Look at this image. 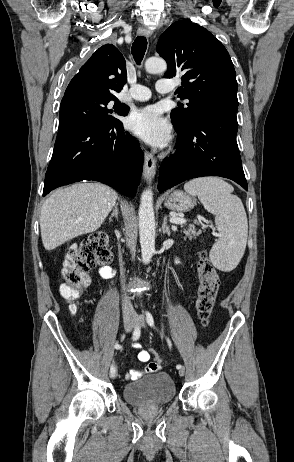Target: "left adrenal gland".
Returning a JSON list of instances; mask_svg holds the SVG:
<instances>
[{
	"mask_svg": "<svg viewBox=\"0 0 294 462\" xmlns=\"http://www.w3.org/2000/svg\"><path fill=\"white\" fill-rule=\"evenodd\" d=\"M162 232L163 234H167L168 236L171 235L170 227L167 225V216H165L163 220Z\"/></svg>",
	"mask_w": 294,
	"mask_h": 462,
	"instance_id": "1",
	"label": "left adrenal gland"
}]
</instances>
